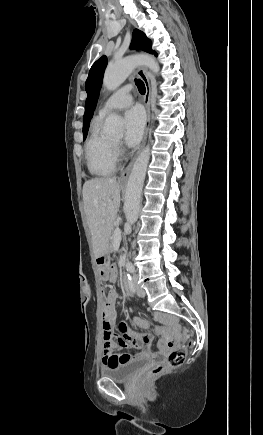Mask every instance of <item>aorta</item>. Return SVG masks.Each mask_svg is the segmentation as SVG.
I'll use <instances>...</instances> for the list:
<instances>
[{"label": "aorta", "mask_w": 263, "mask_h": 435, "mask_svg": "<svg viewBox=\"0 0 263 435\" xmlns=\"http://www.w3.org/2000/svg\"><path fill=\"white\" fill-rule=\"evenodd\" d=\"M139 65L147 66L154 73L159 72V65L154 57L149 55L131 56L124 58L122 61L115 63L106 69L103 77V85L109 90H115ZM104 132L107 135H122V119L116 114L109 115L105 120ZM149 158L150 147L147 145L136 159L128 179L124 204L128 225H133L138 219L141 193ZM130 267L131 264L127 263L126 268L129 269Z\"/></svg>", "instance_id": "obj_1"}]
</instances>
